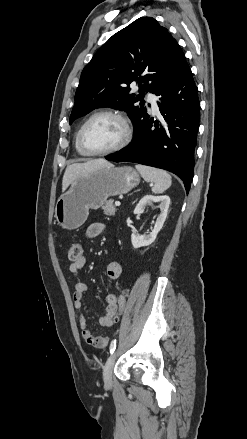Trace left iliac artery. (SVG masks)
Listing matches in <instances>:
<instances>
[{
	"instance_id": "left-iliac-artery-1",
	"label": "left iliac artery",
	"mask_w": 247,
	"mask_h": 439,
	"mask_svg": "<svg viewBox=\"0 0 247 439\" xmlns=\"http://www.w3.org/2000/svg\"><path fill=\"white\" fill-rule=\"evenodd\" d=\"M115 349H116V339L113 340V341L111 342V344H110V354H113V352L115 351Z\"/></svg>"
}]
</instances>
